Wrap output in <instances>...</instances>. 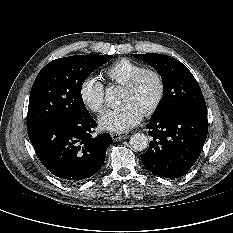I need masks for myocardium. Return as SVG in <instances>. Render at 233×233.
<instances>
[{"mask_svg":"<svg viewBox=\"0 0 233 233\" xmlns=\"http://www.w3.org/2000/svg\"><path fill=\"white\" fill-rule=\"evenodd\" d=\"M148 77H153L157 81L158 91L152 103L143 112V115L146 117L154 114L164 99L166 93V83L163 75L156 70L146 69L132 77L124 86V90H135L143 82V80Z\"/></svg>","mask_w":233,"mask_h":233,"instance_id":"1","label":"myocardium"}]
</instances>
